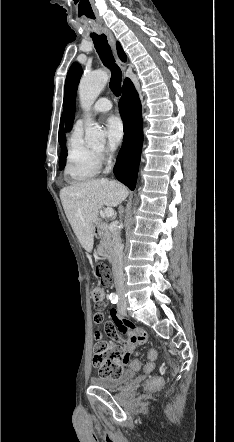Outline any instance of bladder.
I'll use <instances>...</instances> for the list:
<instances>
[{
    "instance_id": "bladder-1",
    "label": "bladder",
    "mask_w": 234,
    "mask_h": 442,
    "mask_svg": "<svg viewBox=\"0 0 234 442\" xmlns=\"http://www.w3.org/2000/svg\"><path fill=\"white\" fill-rule=\"evenodd\" d=\"M135 376V372L131 369L123 370L116 376H96L91 379L93 385L107 389L115 390L123 384L132 380Z\"/></svg>"
}]
</instances>
